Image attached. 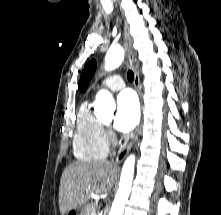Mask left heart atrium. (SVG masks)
Wrapping results in <instances>:
<instances>
[{
	"label": "left heart atrium",
	"mask_w": 221,
	"mask_h": 215,
	"mask_svg": "<svg viewBox=\"0 0 221 215\" xmlns=\"http://www.w3.org/2000/svg\"><path fill=\"white\" fill-rule=\"evenodd\" d=\"M139 116V103L134 93L130 90L120 93L117 98L115 128L120 132H128L137 125Z\"/></svg>",
	"instance_id": "left-heart-atrium-1"
}]
</instances>
